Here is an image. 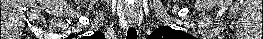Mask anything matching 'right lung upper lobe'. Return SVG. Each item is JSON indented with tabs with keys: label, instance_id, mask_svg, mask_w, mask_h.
Masks as SVG:
<instances>
[{
	"label": "right lung upper lobe",
	"instance_id": "obj_1",
	"mask_svg": "<svg viewBox=\"0 0 263 39\" xmlns=\"http://www.w3.org/2000/svg\"><path fill=\"white\" fill-rule=\"evenodd\" d=\"M99 34H101L100 32H96V33H94L92 36H91V38H96V35H99Z\"/></svg>",
	"mask_w": 263,
	"mask_h": 39
}]
</instances>
